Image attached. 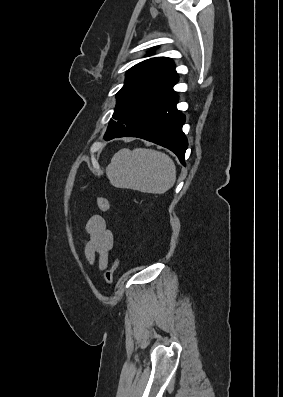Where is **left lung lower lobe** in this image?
I'll list each match as a JSON object with an SVG mask.
<instances>
[{"instance_id": "obj_1", "label": "left lung lower lobe", "mask_w": 283, "mask_h": 397, "mask_svg": "<svg viewBox=\"0 0 283 397\" xmlns=\"http://www.w3.org/2000/svg\"><path fill=\"white\" fill-rule=\"evenodd\" d=\"M177 103L178 96L175 93L142 114L121 133L105 139L139 137L168 148L185 165L184 156L188 146L187 138L182 132L185 116L177 110Z\"/></svg>"}]
</instances>
